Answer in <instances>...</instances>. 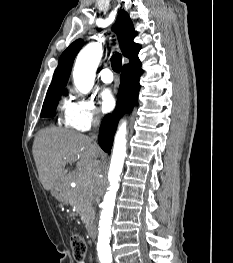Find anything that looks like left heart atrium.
<instances>
[{
  "label": "left heart atrium",
  "instance_id": "obj_1",
  "mask_svg": "<svg viewBox=\"0 0 233 263\" xmlns=\"http://www.w3.org/2000/svg\"><path fill=\"white\" fill-rule=\"evenodd\" d=\"M100 100H101V111L106 113L113 109L115 105L114 96L109 89H104L100 93Z\"/></svg>",
  "mask_w": 233,
  "mask_h": 263
}]
</instances>
